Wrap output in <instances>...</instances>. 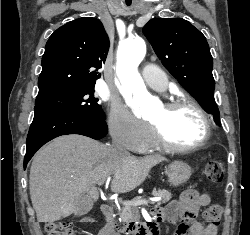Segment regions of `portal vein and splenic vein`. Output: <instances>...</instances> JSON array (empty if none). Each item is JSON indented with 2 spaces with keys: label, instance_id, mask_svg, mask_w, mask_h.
Instances as JSON below:
<instances>
[{
  "label": "portal vein and splenic vein",
  "instance_id": "1",
  "mask_svg": "<svg viewBox=\"0 0 250 235\" xmlns=\"http://www.w3.org/2000/svg\"><path fill=\"white\" fill-rule=\"evenodd\" d=\"M161 200V198H155V199H152V201H155V202H158V201H160ZM132 201H129V202H125V203H131ZM141 204H145V205H147L148 203H149V201L148 200H146V199H142L141 201H139Z\"/></svg>",
  "mask_w": 250,
  "mask_h": 235
}]
</instances>
